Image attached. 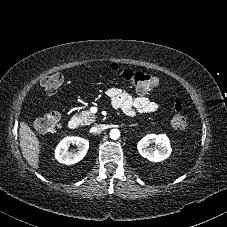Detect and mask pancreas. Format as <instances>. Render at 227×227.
Wrapping results in <instances>:
<instances>
[{
    "label": "pancreas",
    "mask_w": 227,
    "mask_h": 227,
    "mask_svg": "<svg viewBox=\"0 0 227 227\" xmlns=\"http://www.w3.org/2000/svg\"><path fill=\"white\" fill-rule=\"evenodd\" d=\"M96 119V116L88 110H84L79 115V120L82 125H90Z\"/></svg>",
    "instance_id": "pancreas-1"
}]
</instances>
